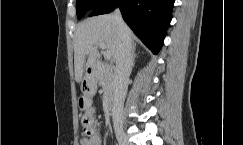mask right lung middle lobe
Listing matches in <instances>:
<instances>
[{
	"mask_svg": "<svg viewBox=\"0 0 243 145\" xmlns=\"http://www.w3.org/2000/svg\"><path fill=\"white\" fill-rule=\"evenodd\" d=\"M102 2L103 0H76V12L78 19H81L87 10L97 7Z\"/></svg>",
	"mask_w": 243,
	"mask_h": 145,
	"instance_id": "obj_1",
	"label": "right lung middle lobe"
}]
</instances>
